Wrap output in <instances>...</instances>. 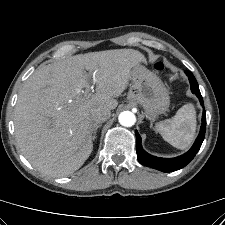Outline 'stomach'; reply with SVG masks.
<instances>
[{"mask_svg":"<svg viewBox=\"0 0 225 225\" xmlns=\"http://www.w3.org/2000/svg\"><path fill=\"white\" fill-rule=\"evenodd\" d=\"M130 80L128 100L131 103L140 104L152 119L168 110L169 92L155 73L138 64L133 68Z\"/></svg>","mask_w":225,"mask_h":225,"instance_id":"obj_1","label":"stomach"}]
</instances>
